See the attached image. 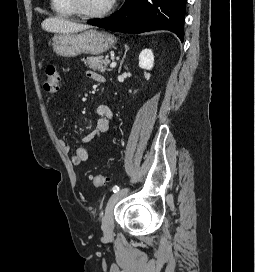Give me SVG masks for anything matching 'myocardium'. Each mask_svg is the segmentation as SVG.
<instances>
[{"mask_svg":"<svg viewBox=\"0 0 255 272\" xmlns=\"http://www.w3.org/2000/svg\"><path fill=\"white\" fill-rule=\"evenodd\" d=\"M69 7L72 9L74 14L81 18L86 19H97L103 18L109 15L114 9L116 0H110L109 5L100 12H87L81 8L79 0H67Z\"/></svg>","mask_w":255,"mask_h":272,"instance_id":"1","label":"myocardium"}]
</instances>
